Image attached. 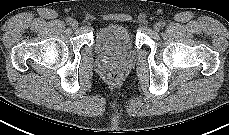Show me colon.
<instances>
[{"label":"colon","mask_w":229,"mask_h":135,"mask_svg":"<svg viewBox=\"0 0 229 135\" xmlns=\"http://www.w3.org/2000/svg\"><path fill=\"white\" fill-rule=\"evenodd\" d=\"M109 81L112 83H118L121 79L119 73L113 71L108 75Z\"/></svg>","instance_id":"obj_1"}]
</instances>
